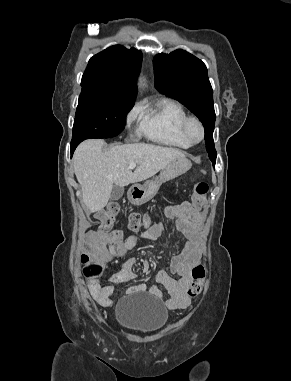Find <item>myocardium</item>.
<instances>
[{"label": "myocardium", "mask_w": 291, "mask_h": 381, "mask_svg": "<svg viewBox=\"0 0 291 381\" xmlns=\"http://www.w3.org/2000/svg\"><path fill=\"white\" fill-rule=\"evenodd\" d=\"M192 125H196L199 130V135L195 137L192 133L191 127ZM183 132L186 136V138L192 143V144H198L200 143L204 137H205V127L203 122L198 117H188L183 124Z\"/></svg>", "instance_id": "1"}]
</instances>
